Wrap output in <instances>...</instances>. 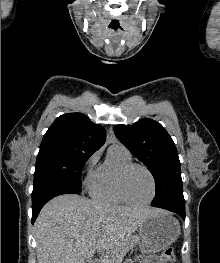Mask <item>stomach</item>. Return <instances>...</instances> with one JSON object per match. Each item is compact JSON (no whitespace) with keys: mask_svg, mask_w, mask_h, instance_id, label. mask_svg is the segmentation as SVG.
<instances>
[{"mask_svg":"<svg viewBox=\"0 0 220 263\" xmlns=\"http://www.w3.org/2000/svg\"><path fill=\"white\" fill-rule=\"evenodd\" d=\"M139 248L143 254L159 252L173 242L180 235V224L168 212L159 211L150 216L139 227ZM126 263H133L128 259Z\"/></svg>","mask_w":220,"mask_h":263,"instance_id":"stomach-1","label":"stomach"}]
</instances>
